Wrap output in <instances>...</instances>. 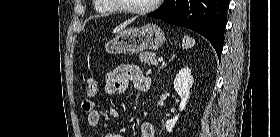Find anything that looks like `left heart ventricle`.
Masks as SVG:
<instances>
[{"mask_svg": "<svg viewBox=\"0 0 280 137\" xmlns=\"http://www.w3.org/2000/svg\"><path fill=\"white\" fill-rule=\"evenodd\" d=\"M153 0H124L125 7L139 8L146 7L152 3Z\"/></svg>", "mask_w": 280, "mask_h": 137, "instance_id": "b2bd125f", "label": "left heart ventricle"}]
</instances>
